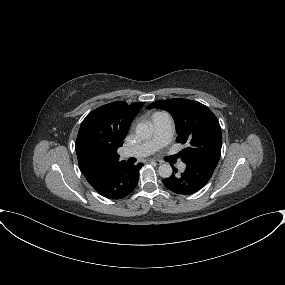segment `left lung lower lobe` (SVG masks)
Instances as JSON below:
<instances>
[{
	"label": "left lung lower lobe",
	"mask_w": 285,
	"mask_h": 285,
	"mask_svg": "<svg viewBox=\"0 0 285 285\" xmlns=\"http://www.w3.org/2000/svg\"><path fill=\"white\" fill-rule=\"evenodd\" d=\"M219 160L198 159L186 162L183 173L175 174L162 180L163 184L176 194L189 195L199 191L210 180Z\"/></svg>",
	"instance_id": "obj_1"
}]
</instances>
